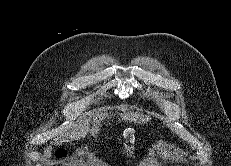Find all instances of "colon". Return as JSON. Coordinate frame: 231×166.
<instances>
[{"instance_id":"colon-1","label":"colon","mask_w":231,"mask_h":166,"mask_svg":"<svg viewBox=\"0 0 231 166\" xmlns=\"http://www.w3.org/2000/svg\"><path fill=\"white\" fill-rule=\"evenodd\" d=\"M65 156V152L64 151H59L58 153H57V157L58 158H62V157H64Z\"/></svg>"}]
</instances>
